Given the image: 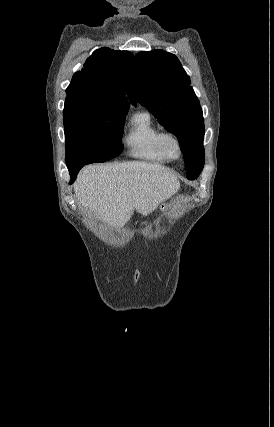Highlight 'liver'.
<instances>
[{"label": "liver", "instance_id": "obj_1", "mask_svg": "<svg viewBox=\"0 0 274 427\" xmlns=\"http://www.w3.org/2000/svg\"><path fill=\"white\" fill-rule=\"evenodd\" d=\"M180 188L172 172L159 164L123 162L92 164L78 174L74 184L82 206L113 227H123L134 210L148 215Z\"/></svg>", "mask_w": 274, "mask_h": 427}]
</instances>
